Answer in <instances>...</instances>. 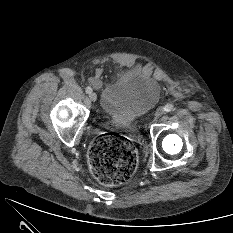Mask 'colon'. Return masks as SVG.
<instances>
[{
    "instance_id": "obj_1",
    "label": "colon",
    "mask_w": 233,
    "mask_h": 233,
    "mask_svg": "<svg viewBox=\"0 0 233 233\" xmlns=\"http://www.w3.org/2000/svg\"><path fill=\"white\" fill-rule=\"evenodd\" d=\"M88 160L94 176L106 186H117L127 182L138 164L131 141L115 133L97 136L90 144Z\"/></svg>"
}]
</instances>
